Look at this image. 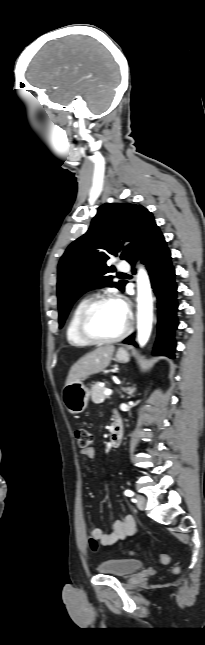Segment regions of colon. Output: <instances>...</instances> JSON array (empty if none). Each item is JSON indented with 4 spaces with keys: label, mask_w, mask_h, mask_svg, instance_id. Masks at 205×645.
I'll return each mask as SVG.
<instances>
[{
    "label": "colon",
    "mask_w": 205,
    "mask_h": 645,
    "mask_svg": "<svg viewBox=\"0 0 205 645\" xmlns=\"http://www.w3.org/2000/svg\"><path fill=\"white\" fill-rule=\"evenodd\" d=\"M75 438L77 440V444L81 448H87L91 442H92V436L90 432L85 429V428H77L75 429ZM160 561L162 563H168L169 562V555L167 553H162L160 554ZM178 569L176 568L175 571Z\"/></svg>",
    "instance_id": "colon-1"
}]
</instances>
